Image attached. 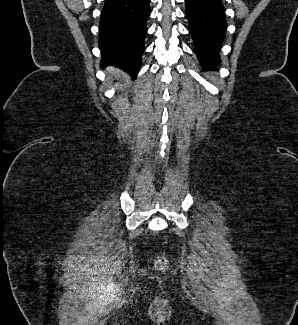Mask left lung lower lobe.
<instances>
[{
	"label": "left lung lower lobe",
	"instance_id": "obj_1",
	"mask_svg": "<svg viewBox=\"0 0 298 325\" xmlns=\"http://www.w3.org/2000/svg\"><path fill=\"white\" fill-rule=\"evenodd\" d=\"M189 31L202 66L216 67L226 33L225 8L221 0H185Z\"/></svg>",
	"mask_w": 298,
	"mask_h": 325
}]
</instances>
